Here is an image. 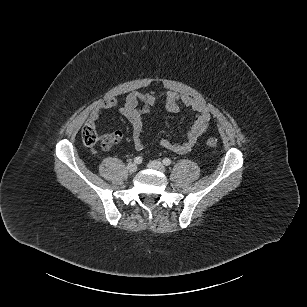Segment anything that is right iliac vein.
<instances>
[{
	"label": "right iliac vein",
	"instance_id": "63e3f726",
	"mask_svg": "<svg viewBox=\"0 0 307 307\" xmlns=\"http://www.w3.org/2000/svg\"><path fill=\"white\" fill-rule=\"evenodd\" d=\"M127 170H128L130 173H134V172H136V170H137V165L134 164V163H129V164L127 165Z\"/></svg>",
	"mask_w": 307,
	"mask_h": 307
}]
</instances>
